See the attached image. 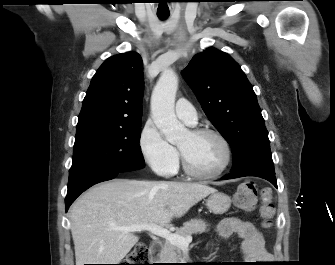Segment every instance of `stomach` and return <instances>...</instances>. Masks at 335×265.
I'll list each match as a JSON object with an SVG mask.
<instances>
[{
  "instance_id": "stomach-1",
  "label": "stomach",
  "mask_w": 335,
  "mask_h": 265,
  "mask_svg": "<svg viewBox=\"0 0 335 265\" xmlns=\"http://www.w3.org/2000/svg\"><path fill=\"white\" fill-rule=\"evenodd\" d=\"M206 206L213 214H224L231 206V198L222 192L211 193L206 200Z\"/></svg>"
}]
</instances>
